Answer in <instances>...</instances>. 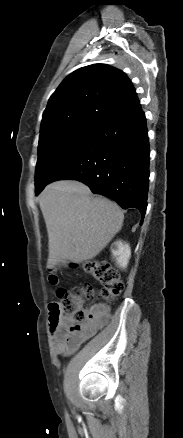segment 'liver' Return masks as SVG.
<instances>
[{"label": "liver", "instance_id": "6515ba94", "mask_svg": "<svg viewBox=\"0 0 183 438\" xmlns=\"http://www.w3.org/2000/svg\"><path fill=\"white\" fill-rule=\"evenodd\" d=\"M48 233L47 267L82 263L96 257L118 233L124 213L103 197H94L83 183L49 184L39 198Z\"/></svg>", "mask_w": 183, "mask_h": 438}]
</instances>
